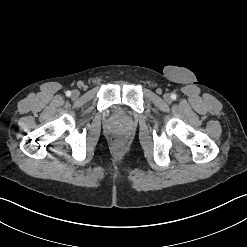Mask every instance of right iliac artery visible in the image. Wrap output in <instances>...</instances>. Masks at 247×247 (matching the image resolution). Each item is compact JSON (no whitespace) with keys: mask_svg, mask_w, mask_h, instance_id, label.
I'll return each mask as SVG.
<instances>
[{"mask_svg":"<svg viewBox=\"0 0 247 247\" xmlns=\"http://www.w3.org/2000/svg\"><path fill=\"white\" fill-rule=\"evenodd\" d=\"M66 95H67V96H70V95H71V92H70V91H67V92H66Z\"/></svg>","mask_w":247,"mask_h":247,"instance_id":"right-iliac-artery-1","label":"right iliac artery"}]
</instances>
